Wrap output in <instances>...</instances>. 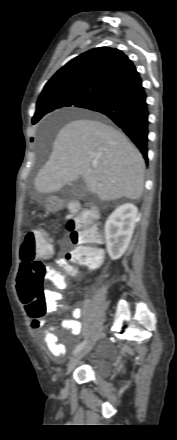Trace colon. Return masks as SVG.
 Returning <instances> with one entry per match:
<instances>
[{
  "mask_svg": "<svg viewBox=\"0 0 177 440\" xmlns=\"http://www.w3.org/2000/svg\"><path fill=\"white\" fill-rule=\"evenodd\" d=\"M69 209L67 229L75 248L67 253L68 263L53 267L42 260L51 253L52 241L39 228L26 233L20 248L18 293L28 313L35 318L42 317L48 309L44 289L48 280L62 286L69 276L76 275L77 266L97 268L102 263V249L95 246L104 240L101 226L95 223L97 211L91 207L80 209L77 203L70 204Z\"/></svg>",
  "mask_w": 177,
  "mask_h": 440,
  "instance_id": "obj_1",
  "label": "colon"
}]
</instances>
